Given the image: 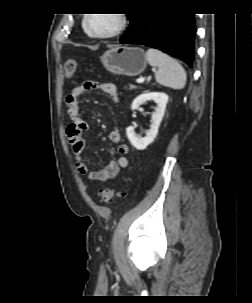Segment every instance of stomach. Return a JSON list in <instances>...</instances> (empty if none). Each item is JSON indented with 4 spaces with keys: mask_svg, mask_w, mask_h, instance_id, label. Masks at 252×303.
<instances>
[{
    "mask_svg": "<svg viewBox=\"0 0 252 303\" xmlns=\"http://www.w3.org/2000/svg\"><path fill=\"white\" fill-rule=\"evenodd\" d=\"M101 62L110 73L127 76H137L147 66L146 55L138 47L112 48L102 55Z\"/></svg>",
    "mask_w": 252,
    "mask_h": 303,
    "instance_id": "obj_1",
    "label": "stomach"
}]
</instances>
